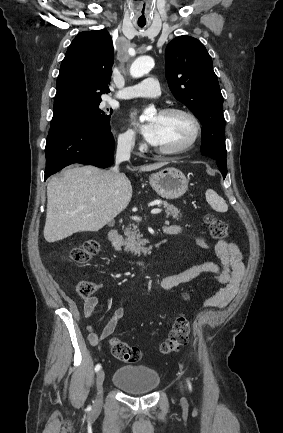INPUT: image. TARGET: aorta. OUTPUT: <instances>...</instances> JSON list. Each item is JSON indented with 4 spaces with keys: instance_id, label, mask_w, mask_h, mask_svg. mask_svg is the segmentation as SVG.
Returning a JSON list of instances; mask_svg holds the SVG:
<instances>
[{
    "instance_id": "1",
    "label": "aorta",
    "mask_w": 283,
    "mask_h": 433,
    "mask_svg": "<svg viewBox=\"0 0 283 433\" xmlns=\"http://www.w3.org/2000/svg\"><path fill=\"white\" fill-rule=\"evenodd\" d=\"M154 66V60L150 56H142L137 58L130 67V74L133 78H140L150 72ZM155 113L152 108L146 109L144 114L141 115L140 120L143 122L149 120Z\"/></svg>"
}]
</instances>
